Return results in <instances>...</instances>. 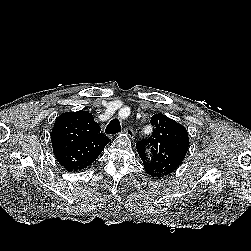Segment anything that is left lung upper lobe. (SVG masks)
I'll use <instances>...</instances> for the list:
<instances>
[{"mask_svg":"<svg viewBox=\"0 0 251 251\" xmlns=\"http://www.w3.org/2000/svg\"><path fill=\"white\" fill-rule=\"evenodd\" d=\"M154 131L149 139L136 144L146 172L155 178L174 172L183 162L189 147L188 132L184 126L158 113L150 120ZM151 147L152 158L147 157L146 145Z\"/></svg>","mask_w":251,"mask_h":251,"instance_id":"5c2ea615","label":"left lung upper lobe"}]
</instances>
